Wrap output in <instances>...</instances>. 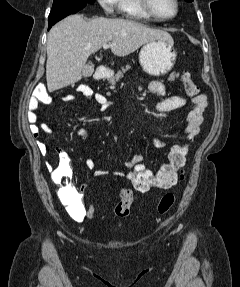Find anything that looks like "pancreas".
Wrapping results in <instances>:
<instances>
[{"label":"pancreas","instance_id":"cf45deb5","mask_svg":"<svg viewBox=\"0 0 240 287\" xmlns=\"http://www.w3.org/2000/svg\"><path fill=\"white\" fill-rule=\"evenodd\" d=\"M131 69V66L130 65H126L125 67H122L121 70H119L116 75H114L113 77H111L109 79V82L111 84H115L117 81H119L123 76H124V73L128 70ZM179 77L178 74H175V73H172L170 74L169 78H168V81H174L175 78Z\"/></svg>","mask_w":240,"mask_h":287}]
</instances>
